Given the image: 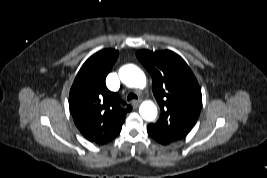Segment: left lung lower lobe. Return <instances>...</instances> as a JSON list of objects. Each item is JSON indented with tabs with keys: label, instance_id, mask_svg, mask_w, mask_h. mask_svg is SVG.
Wrapping results in <instances>:
<instances>
[{
	"label": "left lung lower lobe",
	"instance_id": "0a47b994",
	"mask_svg": "<svg viewBox=\"0 0 267 178\" xmlns=\"http://www.w3.org/2000/svg\"><path fill=\"white\" fill-rule=\"evenodd\" d=\"M147 131H148L149 135H150L155 141H157L158 143H160V144H162V145L169 144V143H167L166 141H164L162 138H160L155 132H153L152 130H150L148 127H147Z\"/></svg>",
	"mask_w": 267,
	"mask_h": 178
}]
</instances>
